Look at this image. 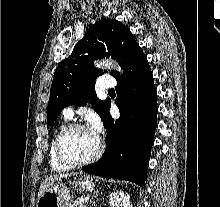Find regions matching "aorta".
Returning a JSON list of instances; mask_svg holds the SVG:
<instances>
[{
    "label": "aorta",
    "instance_id": "1",
    "mask_svg": "<svg viewBox=\"0 0 220 207\" xmlns=\"http://www.w3.org/2000/svg\"><path fill=\"white\" fill-rule=\"evenodd\" d=\"M95 66L97 68H109V69L111 68V69H114V70L121 72V68L119 67V65L116 62L111 61V60L97 61V62H95Z\"/></svg>",
    "mask_w": 220,
    "mask_h": 207
}]
</instances>
